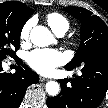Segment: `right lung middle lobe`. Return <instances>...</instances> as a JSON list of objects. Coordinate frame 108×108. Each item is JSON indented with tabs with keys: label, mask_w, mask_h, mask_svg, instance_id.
<instances>
[{
	"label": "right lung middle lobe",
	"mask_w": 108,
	"mask_h": 108,
	"mask_svg": "<svg viewBox=\"0 0 108 108\" xmlns=\"http://www.w3.org/2000/svg\"><path fill=\"white\" fill-rule=\"evenodd\" d=\"M28 18L16 2L0 5V60L16 56L14 50L20 47L21 30Z\"/></svg>",
	"instance_id": "dd1d6c3e"
}]
</instances>
